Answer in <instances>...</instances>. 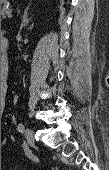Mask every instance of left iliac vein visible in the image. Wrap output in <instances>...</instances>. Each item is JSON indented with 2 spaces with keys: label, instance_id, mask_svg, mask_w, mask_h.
<instances>
[{
  "label": "left iliac vein",
  "instance_id": "obj_1",
  "mask_svg": "<svg viewBox=\"0 0 109 170\" xmlns=\"http://www.w3.org/2000/svg\"><path fill=\"white\" fill-rule=\"evenodd\" d=\"M25 136H26V140H27L28 144L30 146H34V144H35V137H34L33 131L31 129H29V128L26 129L25 130Z\"/></svg>",
  "mask_w": 109,
  "mask_h": 170
}]
</instances>
